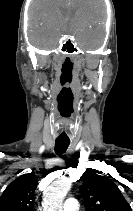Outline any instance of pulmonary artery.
<instances>
[{"instance_id": "e3ab8cb5", "label": "pulmonary artery", "mask_w": 133, "mask_h": 211, "mask_svg": "<svg viewBox=\"0 0 133 211\" xmlns=\"http://www.w3.org/2000/svg\"><path fill=\"white\" fill-rule=\"evenodd\" d=\"M79 205L75 198H68L63 204V211H78Z\"/></svg>"}]
</instances>
